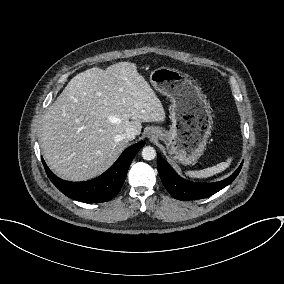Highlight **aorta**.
I'll return each instance as SVG.
<instances>
[{"label":"aorta","instance_id":"762f6f07","mask_svg":"<svg viewBox=\"0 0 284 284\" xmlns=\"http://www.w3.org/2000/svg\"><path fill=\"white\" fill-rule=\"evenodd\" d=\"M142 157L144 160L150 161L156 157V151L151 146H146L142 149Z\"/></svg>","mask_w":284,"mask_h":284}]
</instances>
